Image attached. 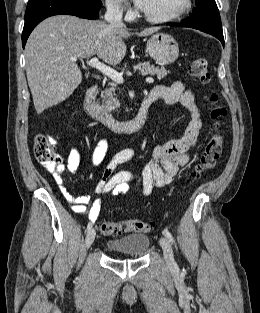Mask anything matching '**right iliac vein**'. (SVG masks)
I'll return each mask as SVG.
<instances>
[{"instance_id": "1", "label": "right iliac vein", "mask_w": 260, "mask_h": 313, "mask_svg": "<svg viewBox=\"0 0 260 313\" xmlns=\"http://www.w3.org/2000/svg\"><path fill=\"white\" fill-rule=\"evenodd\" d=\"M95 234L96 233H95V230L93 228H90L87 231L86 240H85V244H86L87 248L91 247V245L93 244L94 239H95Z\"/></svg>"}]
</instances>
